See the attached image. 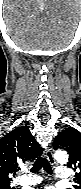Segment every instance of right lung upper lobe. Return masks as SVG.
Segmentation results:
<instances>
[{"label": "right lung upper lobe", "instance_id": "obj_1", "mask_svg": "<svg viewBox=\"0 0 81 189\" xmlns=\"http://www.w3.org/2000/svg\"><path fill=\"white\" fill-rule=\"evenodd\" d=\"M42 148L27 127H17L0 139V186L11 183L19 163L35 159Z\"/></svg>", "mask_w": 81, "mask_h": 189}]
</instances>
